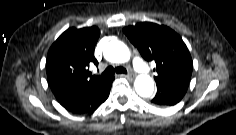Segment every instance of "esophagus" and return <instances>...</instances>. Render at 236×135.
Listing matches in <instances>:
<instances>
[{
    "mask_svg": "<svg viewBox=\"0 0 236 135\" xmlns=\"http://www.w3.org/2000/svg\"><path fill=\"white\" fill-rule=\"evenodd\" d=\"M123 77H126L127 79L132 80L134 78V76L132 74H127V75H121Z\"/></svg>",
    "mask_w": 236,
    "mask_h": 135,
    "instance_id": "obj_1",
    "label": "esophagus"
}]
</instances>
